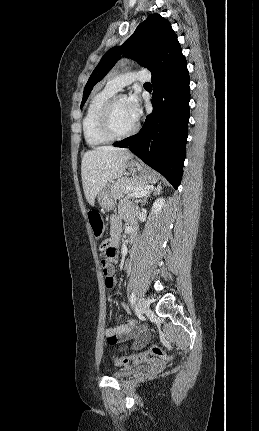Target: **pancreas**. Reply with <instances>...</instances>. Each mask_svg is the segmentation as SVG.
Segmentation results:
<instances>
[{
	"instance_id": "1",
	"label": "pancreas",
	"mask_w": 259,
	"mask_h": 431,
	"mask_svg": "<svg viewBox=\"0 0 259 431\" xmlns=\"http://www.w3.org/2000/svg\"><path fill=\"white\" fill-rule=\"evenodd\" d=\"M146 186V184L142 181H139L135 178H128L123 177L121 179H118L113 185H112V195L115 200L121 199L124 196L126 198H130V193L134 192L135 190L143 189ZM135 198V197H132Z\"/></svg>"
}]
</instances>
